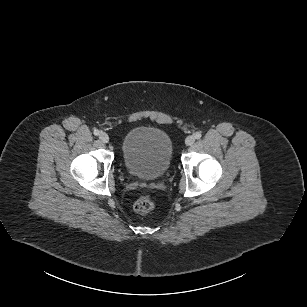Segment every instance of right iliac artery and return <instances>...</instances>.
<instances>
[{
    "mask_svg": "<svg viewBox=\"0 0 307 307\" xmlns=\"http://www.w3.org/2000/svg\"><path fill=\"white\" fill-rule=\"evenodd\" d=\"M100 134V131L98 129L94 130V135L98 136Z\"/></svg>",
    "mask_w": 307,
    "mask_h": 307,
    "instance_id": "obj_1",
    "label": "right iliac artery"
}]
</instances>
